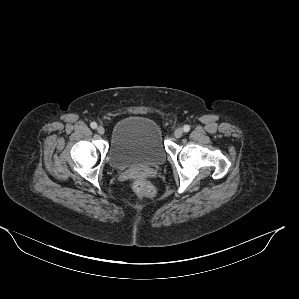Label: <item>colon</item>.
I'll use <instances>...</instances> for the list:
<instances>
[{
  "instance_id": "1",
  "label": "colon",
  "mask_w": 299,
  "mask_h": 299,
  "mask_svg": "<svg viewBox=\"0 0 299 299\" xmlns=\"http://www.w3.org/2000/svg\"><path fill=\"white\" fill-rule=\"evenodd\" d=\"M133 190L142 197H152L155 194V188L145 178L137 179L133 183Z\"/></svg>"
}]
</instances>
